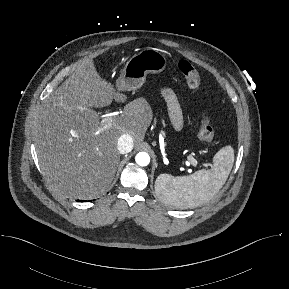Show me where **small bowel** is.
Returning <instances> with one entry per match:
<instances>
[{
	"label": "small bowel",
	"instance_id": "c3829d8e",
	"mask_svg": "<svg viewBox=\"0 0 289 289\" xmlns=\"http://www.w3.org/2000/svg\"><path fill=\"white\" fill-rule=\"evenodd\" d=\"M163 98L165 99L169 108L172 122L176 129H181L183 125L182 117V102L177 93L173 90L164 88L161 91Z\"/></svg>",
	"mask_w": 289,
	"mask_h": 289
}]
</instances>
